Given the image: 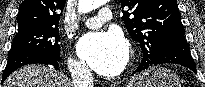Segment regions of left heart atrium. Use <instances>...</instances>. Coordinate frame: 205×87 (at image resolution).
<instances>
[{"mask_svg": "<svg viewBox=\"0 0 205 87\" xmlns=\"http://www.w3.org/2000/svg\"><path fill=\"white\" fill-rule=\"evenodd\" d=\"M79 56L104 76L119 74L128 60V45L118 31L84 35L77 45Z\"/></svg>", "mask_w": 205, "mask_h": 87, "instance_id": "left-heart-atrium-1", "label": "left heart atrium"}]
</instances>
